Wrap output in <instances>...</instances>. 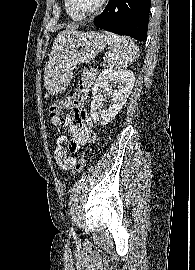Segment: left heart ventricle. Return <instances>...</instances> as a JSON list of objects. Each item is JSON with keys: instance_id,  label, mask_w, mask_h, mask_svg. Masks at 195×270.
Wrapping results in <instances>:
<instances>
[{"instance_id": "1", "label": "left heart ventricle", "mask_w": 195, "mask_h": 270, "mask_svg": "<svg viewBox=\"0 0 195 270\" xmlns=\"http://www.w3.org/2000/svg\"><path fill=\"white\" fill-rule=\"evenodd\" d=\"M100 0H71L74 10L79 14H86L92 11Z\"/></svg>"}]
</instances>
